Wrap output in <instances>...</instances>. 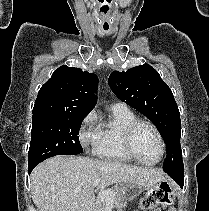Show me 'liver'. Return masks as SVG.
<instances>
[{"label":"liver","mask_w":209,"mask_h":211,"mask_svg":"<svg viewBox=\"0 0 209 211\" xmlns=\"http://www.w3.org/2000/svg\"><path fill=\"white\" fill-rule=\"evenodd\" d=\"M97 179L101 180V188L112 184L151 188L164 177L154 168L80 156H54L32 171V199L39 211H97L93 186Z\"/></svg>","instance_id":"liver-1"}]
</instances>
